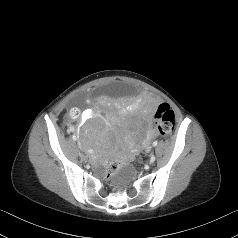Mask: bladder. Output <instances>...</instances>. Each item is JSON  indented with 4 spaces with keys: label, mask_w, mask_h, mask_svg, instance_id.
Instances as JSON below:
<instances>
[{
    "label": "bladder",
    "mask_w": 238,
    "mask_h": 238,
    "mask_svg": "<svg viewBox=\"0 0 238 238\" xmlns=\"http://www.w3.org/2000/svg\"><path fill=\"white\" fill-rule=\"evenodd\" d=\"M125 94L130 97H136L139 94V89L130 84H125L124 82L101 85L100 87H95L92 90V95L95 98H100L101 96H110V95H118ZM82 143V140H80Z\"/></svg>",
    "instance_id": "31cf9c89"
}]
</instances>
